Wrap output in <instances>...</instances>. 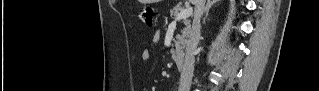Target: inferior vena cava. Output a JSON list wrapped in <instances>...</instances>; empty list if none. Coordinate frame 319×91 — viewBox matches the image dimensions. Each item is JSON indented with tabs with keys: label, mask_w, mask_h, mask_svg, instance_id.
Returning <instances> with one entry per match:
<instances>
[{
	"label": "inferior vena cava",
	"mask_w": 319,
	"mask_h": 91,
	"mask_svg": "<svg viewBox=\"0 0 319 91\" xmlns=\"http://www.w3.org/2000/svg\"><path fill=\"white\" fill-rule=\"evenodd\" d=\"M205 2L206 0H196L195 3L194 19L190 37L186 46V55L180 75L178 91H189L191 87L194 72L195 54L200 39V20L204 12Z\"/></svg>",
	"instance_id": "602c4592"
}]
</instances>
